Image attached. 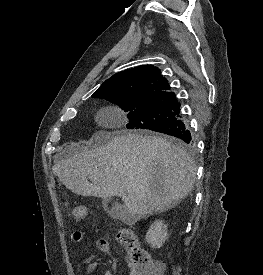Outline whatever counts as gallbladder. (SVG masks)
Wrapping results in <instances>:
<instances>
[{
	"label": "gallbladder",
	"mask_w": 263,
	"mask_h": 275,
	"mask_svg": "<svg viewBox=\"0 0 263 275\" xmlns=\"http://www.w3.org/2000/svg\"><path fill=\"white\" fill-rule=\"evenodd\" d=\"M111 213L115 216V217H122L121 210L119 209V207H115L111 209Z\"/></svg>",
	"instance_id": "obj_1"
}]
</instances>
